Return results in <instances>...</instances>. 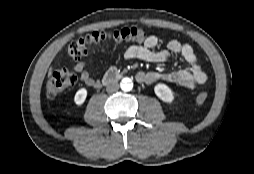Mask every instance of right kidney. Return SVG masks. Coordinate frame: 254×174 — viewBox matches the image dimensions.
I'll list each match as a JSON object with an SVG mask.
<instances>
[{
  "label": "right kidney",
  "mask_w": 254,
  "mask_h": 174,
  "mask_svg": "<svg viewBox=\"0 0 254 174\" xmlns=\"http://www.w3.org/2000/svg\"><path fill=\"white\" fill-rule=\"evenodd\" d=\"M87 97V90L85 88L79 89L74 97V101L77 105H82Z\"/></svg>",
  "instance_id": "ca27d5eb"
}]
</instances>
